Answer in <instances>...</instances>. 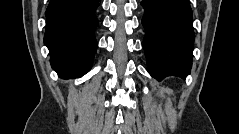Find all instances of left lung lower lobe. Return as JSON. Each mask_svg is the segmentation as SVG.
I'll list each match as a JSON object with an SVG mask.
<instances>
[{
	"mask_svg": "<svg viewBox=\"0 0 239 134\" xmlns=\"http://www.w3.org/2000/svg\"><path fill=\"white\" fill-rule=\"evenodd\" d=\"M147 70L157 80L186 78L192 66L194 31L189 0H142Z\"/></svg>",
	"mask_w": 239,
	"mask_h": 134,
	"instance_id": "0a47b994",
	"label": "left lung lower lobe"
}]
</instances>
